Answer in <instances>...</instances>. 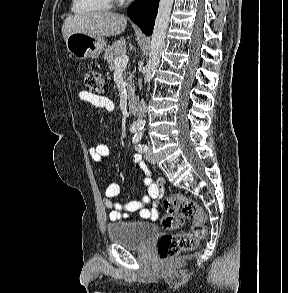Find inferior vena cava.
Masks as SVG:
<instances>
[{
    "label": "inferior vena cava",
    "mask_w": 288,
    "mask_h": 293,
    "mask_svg": "<svg viewBox=\"0 0 288 293\" xmlns=\"http://www.w3.org/2000/svg\"><path fill=\"white\" fill-rule=\"evenodd\" d=\"M146 114V104L145 101L142 99L139 107V114L138 119L142 120L145 117Z\"/></svg>",
    "instance_id": "602c4592"
}]
</instances>
